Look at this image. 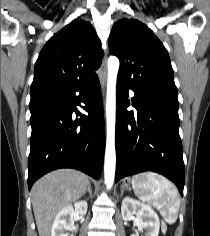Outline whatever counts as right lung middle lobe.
Masks as SVG:
<instances>
[{
  "instance_id": "1",
  "label": "right lung middle lobe",
  "mask_w": 210,
  "mask_h": 236,
  "mask_svg": "<svg viewBox=\"0 0 210 236\" xmlns=\"http://www.w3.org/2000/svg\"><path fill=\"white\" fill-rule=\"evenodd\" d=\"M62 94L63 92L50 88L37 90L31 94V100L29 106L30 108H33L43 102L58 98L62 96Z\"/></svg>"
}]
</instances>
